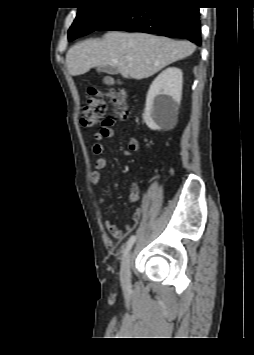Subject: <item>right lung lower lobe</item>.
<instances>
[{
  "label": "right lung lower lobe",
  "mask_w": 254,
  "mask_h": 355,
  "mask_svg": "<svg viewBox=\"0 0 254 355\" xmlns=\"http://www.w3.org/2000/svg\"><path fill=\"white\" fill-rule=\"evenodd\" d=\"M97 30L154 33L201 44L199 8L193 0H131Z\"/></svg>",
  "instance_id": "1"
}]
</instances>
